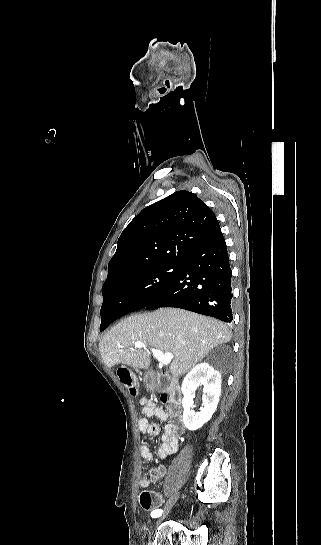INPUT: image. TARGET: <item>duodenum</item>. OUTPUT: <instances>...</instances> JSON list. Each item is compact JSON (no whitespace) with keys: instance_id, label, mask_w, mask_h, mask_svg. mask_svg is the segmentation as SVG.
<instances>
[{"instance_id":"obj_1","label":"duodenum","mask_w":321,"mask_h":545,"mask_svg":"<svg viewBox=\"0 0 321 545\" xmlns=\"http://www.w3.org/2000/svg\"><path fill=\"white\" fill-rule=\"evenodd\" d=\"M146 380L151 389L160 393L162 402L173 405L180 404V388L170 378L157 372H149L146 376Z\"/></svg>"}]
</instances>
